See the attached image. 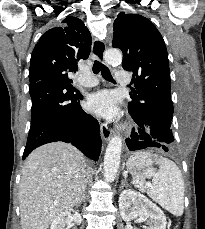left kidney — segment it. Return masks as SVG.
Masks as SVG:
<instances>
[{"mask_svg": "<svg viewBox=\"0 0 205 229\" xmlns=\"http://www.w3.org/2000/svg\"><path fill=\"white\" fill-rule=\"evenodd\" d=\"M119 210L124 221L137 219L146 221L147 229H166V217L163 211L139 192L126 189L119 196Z\"/></svg>", "mask_w": 205, "mask_h": 229, "instance_id": "1", "label": "left kidney"}]
</instances>
